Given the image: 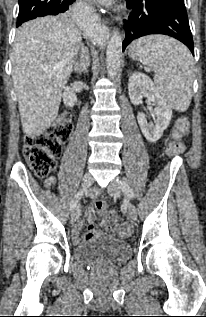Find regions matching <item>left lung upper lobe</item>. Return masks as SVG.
<instances>
[{
    "label": "left lung upper lobe",
    "instance_id": "5c2ea615",
    "mask_svg": "<svg viewBox=\"0 0 206 317\" xmlns=\"http://www.w3.org/2000/svg\"><path fill=\"white\" fill-rule=\"evenodd\" d=\"M178 1H182V2H184V0H178Z\"/></svg>",
    "mask_w": 206,
    "mask_h": 317
}]
</instances>
